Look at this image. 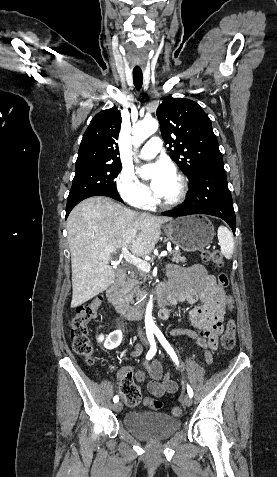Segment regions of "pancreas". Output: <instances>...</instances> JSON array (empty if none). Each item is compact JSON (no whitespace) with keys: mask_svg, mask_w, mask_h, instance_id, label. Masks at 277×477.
<instances>
[{"mask_svg":"<svg viewBox=\"0 0 277 477\" xmlns=\"http://www.w3.org/2000/svg\"><path fill=\"white\" fill-rule=\"evenodd\" d=\"M170 253L172 254V262L185 263L186 259L184 256H181V253L179 251L173 250ZM147 276L148 274L141 269H138L136 273H131V277L127 281V294L125 296L126 301L133 302L134 298L139 299L144 295V291H142L140 287L147 279Z\"/></svg>","mask_w":277,"mask_h":477,"instance_id":"obj_1","label":"pancreas"}]
</instances>
